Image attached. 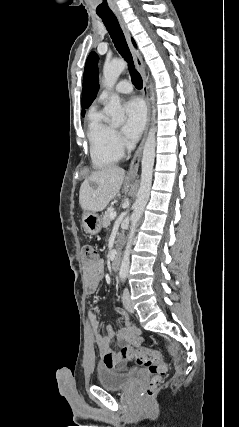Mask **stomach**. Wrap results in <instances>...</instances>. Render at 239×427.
I'll return each instance as SVG.
<instances>
[{
    "instance_id": "obj_1",
    "label": "stomach",
    "mask_w": 239,
    "mask_h": 427,
    "mask_svg": "<svg viewBox=\"0 0 239 427\" xmlns=\"http://www.w3.org/2000/svg\"><path fill=\"white\" fill-rule=\"evenodd\" d=\"M82 225L86 233L95 235L102 228V218L92 211H85L82 216Z\"/></svg>"
}]
</instances>
